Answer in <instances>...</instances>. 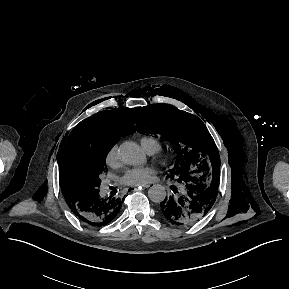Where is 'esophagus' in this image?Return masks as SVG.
Masks as SVG:
<instances>
[{
    "instance_id": "esophagus-1",
    "label": "esophagus",
    "mask_w": 289,
    "mask_h": 289,
    "mask_svg": "<svg viewBox=\"0 0 289 289\" xmlns=\"http://www.w3.org/2000/svg\"><path fill=\"white\" fill-rule=\"evenodd\" d=\"M150 187V184H146V185H142V189H147ZM137 188H134V190H136Z\"/></svg>"
}]
</instances>
